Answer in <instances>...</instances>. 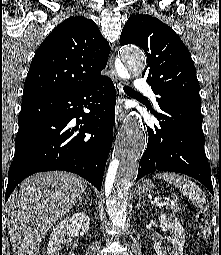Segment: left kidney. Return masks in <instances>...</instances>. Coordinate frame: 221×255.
<instances>
[{"mask_svg":"<svg viewBox=\"0 0 221 255\" xmlns=\"http://www.w3.org/2000/svg\"><path fill=\"white\" fill-rule=\"evenodd\" d=\"M160 223L164 226L166 231H169L172 235V251L169 248L163 247L161 242L154 244V249L157 255H183V247L185 244V231L178 221V219L172 215L162 214L159 217Z\"/></svg>","mask_w":221,"mask_h":255,"instance_id":"obj_1","label":"left kidney"}]
</instances>
